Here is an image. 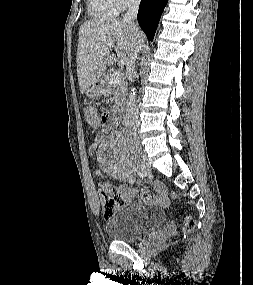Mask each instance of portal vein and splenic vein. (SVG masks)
Listing matches in <instances>:
<instances>
[{"label":"portal vein and splenic vein","mask_w":253,"mask_h":285,"mask_svg":"<svg viewBox=\"0 0 253 285\" xmlns=\"http://www.w3.org/2000/svg\"><path fill=\"white\" fill-rule=\"evenodd\" d=\"M108 48H113V43L107 44ZM121 81V72L119 70H114L110 77V82L113 84H118Z\"/></svg>","instance_id":"18ae733b"}]
</instances>
